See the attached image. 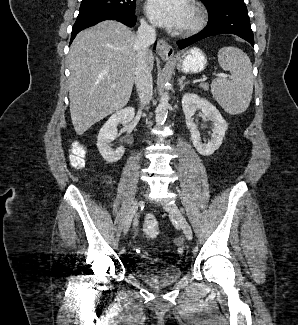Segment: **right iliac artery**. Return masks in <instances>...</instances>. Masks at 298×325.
Segmentation results:
<instances>
[{"label":"right iliac artery","mask_w":298,"mask_h":325,"mask_svg":"<svg viewBox=\"0 0 298 325\" xmlns=\"http://www.w3.org/2000/svg\"><path fill=\"white\" fill-rule=\"evenodd\" d=\"M138 224V219L136 218L135 220H134V226H136Z\"/></svg>","instance_id":"1"}]
</instances>
